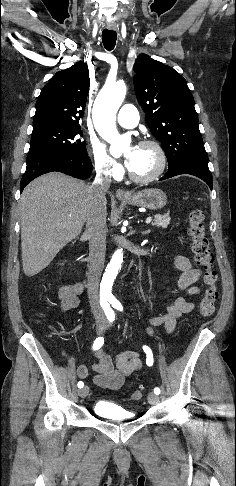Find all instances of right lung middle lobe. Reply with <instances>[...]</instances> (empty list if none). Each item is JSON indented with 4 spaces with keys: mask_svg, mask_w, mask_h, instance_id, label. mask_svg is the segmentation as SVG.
<instances>
[{
    "mask_svg": "<svg viewBox=\"0 0 236 486\" xmlns=\"http://www.w3.org/2000/svg\"><path fill=\"white\" fill-rule=\"evenodd\" d=\"M80 126L47 124L33 127L30 153L54 152L87 155L86 143L81 141Z\"/></svg>",
    "mask_w": 236,
    "mask_h": 486,
    "instance_id": "obj_1",
    "label": "right lung middle lobe"
}]
</instances>
